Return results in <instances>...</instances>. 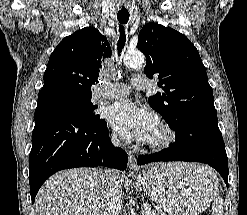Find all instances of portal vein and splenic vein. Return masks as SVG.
<instances>
[{"instance_id":"18ae733b","label":"portal vein and splenic vein","mask_w":247,"mask_h":215,"mask_svg":"<svg viewBox=\"0 0 247 215\" xmlns=\"http://www.w3.org/2000/svg\"><path fill=\"white\" fill-rule=\"evenodd\" d=\"M144 211H147L149 213L150 209L147 206H144Z\"/></svg>"}]
</instances>
